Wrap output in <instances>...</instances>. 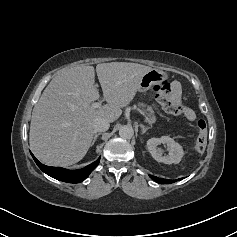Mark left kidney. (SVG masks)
<instances>
[{"mask_svg": "<svg viewBox=\"0 0 237 237\" xmlns=\"http://www.w3.org/2000/svg\"><path fill=\"white\" fill-rule=\"evenodd\" d=\"M160 144L167 145L169 150V153L167 155L163 156L162 150L157 147ZM147 148L151 153L152 157L157 162H162L165 164H172V163L178 164L184 155L182 146L179 143L175 142L169 136H162L161 138L149 139L147 141Z\"/></svg>", "mask_w": 237, "mask_h": 237, "instance_id": "left-kidney-1", "label": "left kidney"}]
</instances>
